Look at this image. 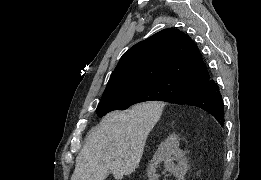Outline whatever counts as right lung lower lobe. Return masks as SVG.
<instances>
[{
	"mask_svg": "<svg viewBox=\"0 0 261 180\" xmlns=\"http://www.w3.org/2000/svg\"><path fill=\"white\" fill-rule=\"evenodd\" d=\"M167 102L189 104L211 114L220 125L224 124V104L220 89L210 75L205 78L197 90L176 96Z\"/></svg>",
	"mask_w": 261,
	"mask_h": 180,
	"instance_id": "1",
	"label": "right lung lower lobe"
}]
</instances>
